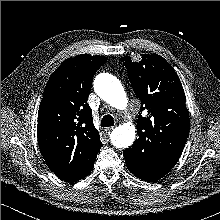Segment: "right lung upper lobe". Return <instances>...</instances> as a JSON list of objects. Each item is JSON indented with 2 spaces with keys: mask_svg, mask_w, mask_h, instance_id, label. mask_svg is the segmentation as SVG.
Instances as JSON below:
<instances>
[{
  "mask_svg": "<svg viewBox=\"0 0 220 220\" xmlns=\"http://www.w3.org/2000/svg\"><path fill=\"white\" fill-rule=\"evenodd\" d=\"M107 58L78 55L50 76L38 111L41 154L60 178L74 182L87 176L102 147L87 103L92 80Z\"/></svg>",
  "mask_w": 220,
  "mask_h": 220,
  "instance_id": "right-lung-upper-lobe-1",
  "label": "right lung upper lobe"
}]
</instances>
